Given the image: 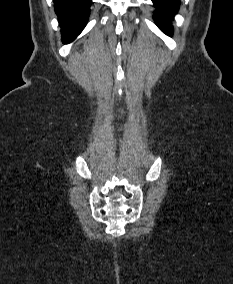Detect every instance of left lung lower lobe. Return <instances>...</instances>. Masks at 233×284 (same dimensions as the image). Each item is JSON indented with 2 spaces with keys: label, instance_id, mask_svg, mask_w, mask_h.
Masks as SVG:
<instances>
[{
  "label": "left lung lower lobe",
  "instance_id": "obj_1",
  "mask_svg": "<svg viewBox=\"0 0 233 284\" xmlns=\"http://www.w3.org/2000/svg\"><path fill=\"white\" fill-rule=\"evenodd\" d=\"M156 11L154 20L156 25L167 35H172L171 20L178 12L180 0H152Z\"/></svg>",
  "mask_w": 233,
  "mask_h": 284
}]
</instances>
